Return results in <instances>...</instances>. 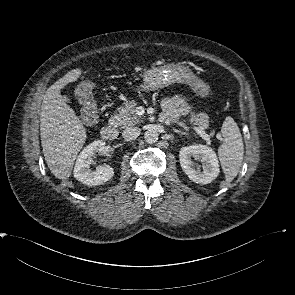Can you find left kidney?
<instances>
[{
  "label": "left kidney",
  "instance_id": "5707ae66",
  "mask_svg": "<svg viewBox=\"0 0 295 295\" xmlns=\"http://www.w3.org/2000/svg\"><path fill=\"white\" fill-rule=\"evenodd\" d=\"M193 158L203 162L202 170L194 163ZM179 160L182 170L193 182L208 184L219 175L220 169L216 153L206 145L195 144L181 148Z\"/></svg>",
  "mask_w": 295,
  "mask_h": 295
}]
</instances>
